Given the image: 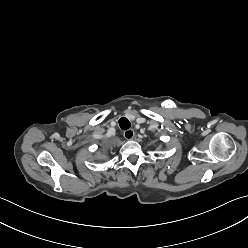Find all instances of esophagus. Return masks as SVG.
Instances as JSON below:
<instances>
[{
	"label": "esophagus",
	"mask_w": 248,
	"mask_h": 248,
	"mask_svg": "<svg viewBox=\"0 0 248 248\" xmlns=\"http://www.w3.org/2000/svg\"><path fill=\"white\" fill-rule=\"evenodd\" d=\"M123 135L127 140H132L134 138L135 133L132 129H128L123 133Z\"/></svg>",
	"instance_id": "obj_1"
}]
</instances>
